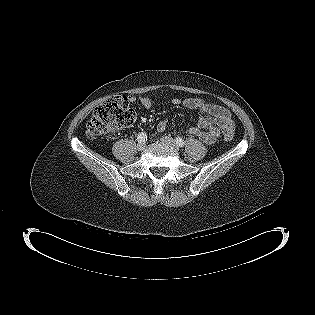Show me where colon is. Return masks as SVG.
<instances>
[{"mask_svg":"<svg viewBox=\"0 0 315 315\" xmlns=\"http://www.w3.org/2000/svg\"><path fill=\"white\" fill-rule=\"evenodd\" d=\"M129 98L124 95H114L101 103L93 112L86 128V136L95 139L112 130L122 129L131 125L135 112L129 106ZM227 141L232 139L230 133H224Z\"/></svg>","mask_w":315,"mask_h":315,"instance_id":"5ec220e1","label":"colon"}]
</instances>
